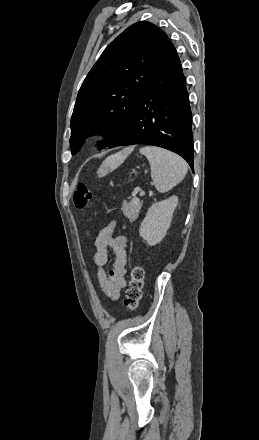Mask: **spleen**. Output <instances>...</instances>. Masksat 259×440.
Segmentation results:
<instances>
[{
    "instance_id": "3e777b00",
    "label": "spleen",
    "mask_w": 259,
    "mask_h": 440,
    "mask_svg": "<svg viewBox=\"0 0 259 440\" xmlns=\"http://www.w3.org/2000/svg\"><path fill=\"white\" fill-rule=\"evenodd\" d=\"M140 153L145 155L150 163L151 177L159 192L171 190L184 179L187 164L175 153L154 146L142 147Z\"/></svg>"
}]
</instances>
